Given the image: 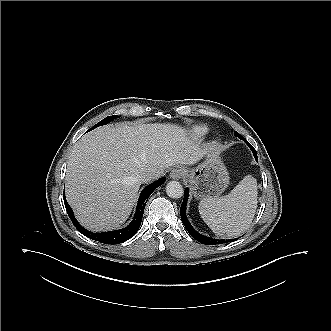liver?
<instances>
[{
  "instance_id": "obj_1",
  "label": "liver",
  "mask_w": 331,
  "mask_h": 331,
  "mask_svg": "<svg viewBox=\"0 0 331 331\" xmlns=\"http://www.w3.org/2000/svg\"><path fill=\"white\" fill-rule=\"evenodd\" d=\"M201 156L199 145L177 125L102 126L74 145L67 163L66 198L86 229L112 230L132 212L140 176L162 175L166 168L192 165Z\"/></svg>"
}]
</instances>
